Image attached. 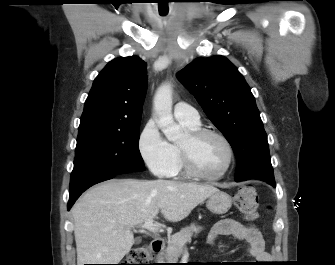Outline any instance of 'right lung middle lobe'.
I'll use <instances>...</instances> for the list:
<instances>
[{
    "mask_svg": "<svg viewBox=\"0 0 335 265\" xmlns=\"http://www.w3.org/2000/svg\"><path fill=\"white\" fill-rule=\"evenodd\" d=\"M139 127L140 121L115 129L79 131L70 187L97 174L144 171Z\"/></svg>",
    "mask_w": 335,
    "mask_h": 265,
    "instance_id": "right-lung-middle-lobe-1",
    "label": "right lung middle lobe"
}]
</instances>
